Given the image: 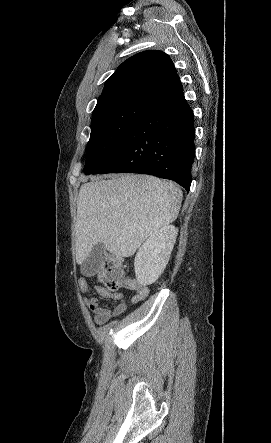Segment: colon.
I'll return each mask as SVG.
<instances>
[{"mask_svg": "<svg viewBox=\"0 0 271 443\" xmlns=\"http://www.w3.org/2000/svg\"><path fill=\"white\" fill-rule=\"evenodd\" d=\"M98 279L111 291L118 290L119 288H130L132 284L128 278L123 261L114 256L104 258L98 269Z\"/></svg>", "mask_w": 271, "mask_h": 443, "instance_id": "1", "label": "colon"}]
</instances>
